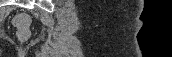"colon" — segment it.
<instances>
[{
    "instance_id": "obj_1",
    "label": "colon",
    "mask_w": 172,
    "mask_h": 57,
    "mask_svg": "<svg viewBox=\"0 0 172 57\" xmlns=\"http://www.w3.org/2000/svg\"><path fill=\"white\" fill-rule=\"evenodd\" d=\"M15 25L19 30L20 38L25 40L29 34L30 18L26 14H20L15 19Z\"/></svg>"
}]
</instances>
